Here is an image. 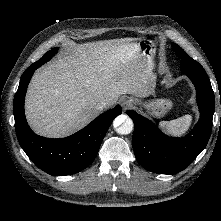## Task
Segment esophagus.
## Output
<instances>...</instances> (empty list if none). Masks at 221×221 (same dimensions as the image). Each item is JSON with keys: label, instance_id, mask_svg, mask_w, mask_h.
I'll return each mask as SVG.
<instances>
[{"label": "esophagus", "instance_id": "1", "mask_svg": "<svg viewBox=\"0 0 221 221\" xmlns=\"http://www.w3.org/2000/svg\"><path fill=\"white\" fill-rule=\"evenodd\" d=\"M133 104V101L129 98L123 99L122 100V106L127 109Z\"/></svg>", "mask_w": 221, "mask_h": 221}]
</instances>
